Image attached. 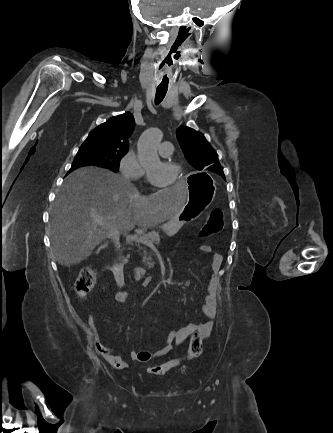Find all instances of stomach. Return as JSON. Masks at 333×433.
I'll list each match as a JSON object with an SVG mask.
<instances>
[{"label":"stomach","instance_id":"stomach-1","mask_svg":"<svg viewBox=\"0 0 333 433\" xmlns=\"http://www.w3.org/2000/svg\"><path fill=\"white\" fill-rule=\"evenodd\" d=\"M184 183H190L189 201L180 211L179 215H174L164 227L179 228L183 224L189 225L194 222L193 218L199 216L203 210L208 208L216 195V183L210 175L204 172L184 174Z\"/></svg>","mask_w":333,"mask_h":433}]
</instances>
